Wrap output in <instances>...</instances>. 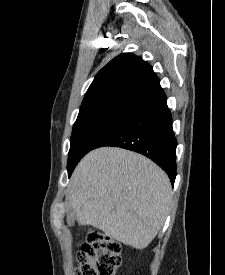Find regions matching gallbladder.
<instances>
[{"instance_id": "obj_1", "label": "gallbladder", "mask_w": 225, "mask_h": 275, "mask_svg": "<svg viewBox=\"0 0 225 275\" xmlns=\"http://www.w3.org/2000/svg\"><path fill=\"white\" fill-rule=\"evenodd\" d=\"M76 213L74 211V209L72 207H69L67 209V222L69 223V225H72L74 223V221L76 220Z\"/></svg>"}]
</instances>
